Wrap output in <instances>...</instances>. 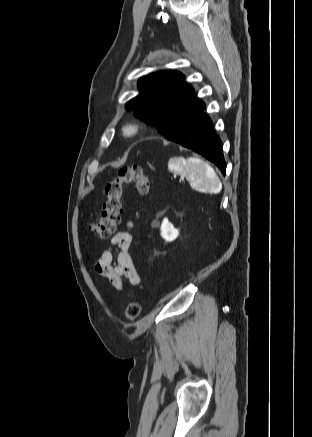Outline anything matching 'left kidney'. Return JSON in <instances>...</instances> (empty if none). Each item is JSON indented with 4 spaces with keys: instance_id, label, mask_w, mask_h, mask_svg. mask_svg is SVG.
Wrapping results in <instances>:
<instances>
[{
    "instance_id": "5707ae66",
    "label": "left kidney",
    "mask_w": 312,
    "mask_h": 437,
    "mask_svg": "<svg viewBox=\"0 0 312 437\" xmlns=\"http://www.w3.org/2000/svg\"><path fill=\"white\" fill-rule=\"evenodd\" d=\"M160 230L162 238L167 242L175 240L179 235V231L167 218H164Z\"/></svg>"
}]
</instances>
